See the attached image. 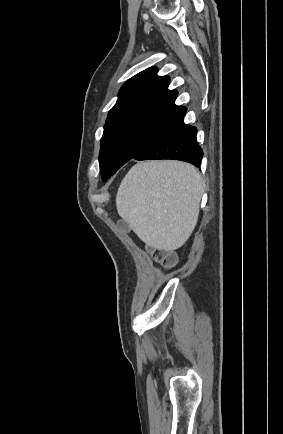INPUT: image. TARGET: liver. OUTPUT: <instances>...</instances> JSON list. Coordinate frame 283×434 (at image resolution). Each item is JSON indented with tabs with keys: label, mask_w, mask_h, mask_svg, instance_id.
<instances>
[{
	"label": "liver",
	"mask_w": 283,
	"mask_h": 434,
	"mask_svg": "<svg viewBox=\"0 0 283 434\" xmlns=\"http://www.w3.org/2000/svg\"><path fill=\"white\" fill-rule=\"evenodd\" d=\"M204 188L200 173L188 163H137L118 188L117 212L147 246L174 251L197 224Z\"/></svg>",
	"instance_id": "6515ba94"
}]
</instances>
